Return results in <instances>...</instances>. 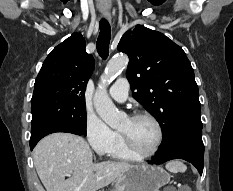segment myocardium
Masks as SVG:
<instances>
[{"label":"myocardium","mask_w":233,"mask_h":191,"mask_svg":"<svg viewBox=\"0 0 233 191\" xmlns=\"http://www.w3.org/2000/svg\"><path fill=\"white\" fill-rule=\"evenodd\" d=\"M129 119H131V120H138V119L150 120L155 125V127L157 129V142H156L154 148L150 152H142L135 146V144L132 142V140L125 133L120 132V135H121L126 147L133 154L137 155L140 158H148V157L155 155L158 152V150L163 142V128H162V125L160 124V122L158 121V119L156 117H154L153 115H151L149 113H145V112L134 114Z\"/></svg>","instance_id":"obj_1"}]
</instances>
